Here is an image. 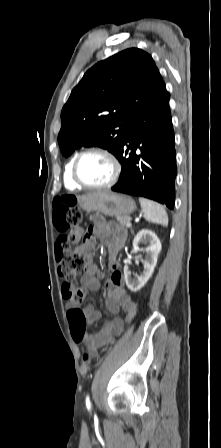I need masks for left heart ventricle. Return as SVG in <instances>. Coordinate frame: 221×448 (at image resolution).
I'll use <instances>...</instances> for the list:
<instances>
[{
  "label": "left heart ventricle",
  "mask_w": 221,
  "mask_h": 448,
  "mask_svg": "<svg viewBox=\"0 0 221 448\" xmlns=\"http://www.w3.org/2000/svg\"><path fill=\"white\" fill-rule=\"evenodd\" d=\"M79 175L88 184L100 185L111 179L113 170L110 161L104 155L93 153L81 161Z\"/></svg>",
  "instance_id": "b2bd125f"
}]
</instances>
